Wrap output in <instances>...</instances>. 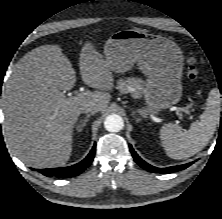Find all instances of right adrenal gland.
<instances>
[{"label": "right adrenal gland", "mask_w": 222, "mask_h": 219, "mask_svg": "<svg viewBox=\"0 0 222 219\" xmlns=\"http://www.w3.org/2000/svg\"><path fill=\"white\" fill-rule=\"evenodd\" d=\"M93 114H94V113L87 114V116H86L84 119H81V120L79 121L80 124L77 126V130H78V131H82V130L85 128L87 122L89 121L90 117H91Z\"/></svg>", "instance_id": "right-adrenal-gland-1"}]
</instances>
